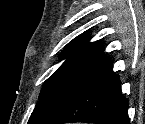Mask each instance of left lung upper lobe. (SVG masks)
Returning a JSON list of instances; mask_svg holds the SVG:
<instances>
[{"label": "left lung upper lobe", "instance_id": "1", "mask_svg": "<svg viewBox=\"0 0 145 124\" xmlns=\"http://www.w3.org/2000/svg\"><path fill=\"white\" fill-rule=\"evenodd\" d=\"M61 56L67 59L44 83L28 124H44L110 61L88 34L72 40Z\"/></svg>", "mask_w": 145, "mask_h": 124}]
</instances>
